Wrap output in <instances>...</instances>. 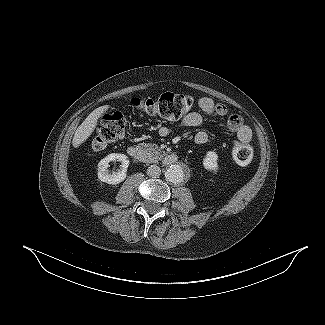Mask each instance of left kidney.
Returning <instances> with one entry per match:
<instances>
[{"mask_svg":"<svg viewBox=\"0 0 325 325\" xmlns=\"http://www.w3.org/2000/svg\"><path fill=\"white\" fill-rule=\"evenodd\" d=\"M203 166L205 169L211 172H217L218 170V155L214 151H208L203 159Z\"/></svg>","mask_w":325,"mask_h":325,"instance_id":"5707ae66","label":"left kidney"}]
</instances>
